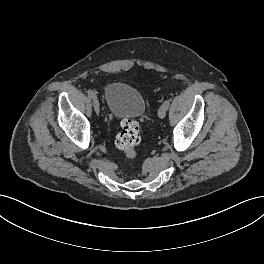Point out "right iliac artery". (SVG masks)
<instances>
[{
  "mask_svg": "<svg viewBox=\"0 0 264 264\" xmlns=\"http://www.w3.org/2000/svg\"><path fill=\"white\" fill-rule=\"evenodd\" d=\"M87 93H88V96L92 99L96 97V94L91 90H89Z\"/></svg>",
  "mask_w": 264,
  "mask_h": 264,
  "instance_id": "1",
  "label": "right iliac artery"
}]
</instances>
